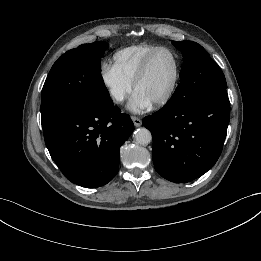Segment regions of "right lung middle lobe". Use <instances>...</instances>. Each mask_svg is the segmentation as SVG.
Returning <instances> with one entry per match:
<instances>
[{
	"mask_svg": "<svg viewBox=\"0 0 261 261\" xmlns=\"http://www.w3.org/2000/svg\"><path fill=\"white\" fill-rule=\"evenodd\" d=\"M108 46L99 41L83 44L54 63L41 94L43 129L73 113L111 103L100 68V59Z\"/></svg>",
	"mask_w": 261,
	"mask_h": 261,
	"instance_id": "1",
	"label": "right lung middle lobe"
}]
</instances>
